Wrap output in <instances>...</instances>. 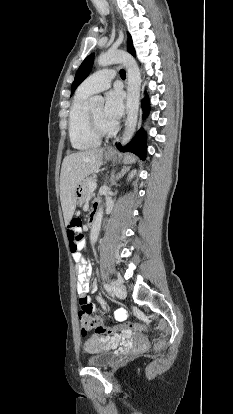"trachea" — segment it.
<instances>
[{
    "label": "trachea",
    "instance_id": "obj_1",
    "mask_svg": "<svg viewBox=\"0 0 233 414\" xmlns=\"http://www.w3.org/2000/svg\"><path fill=\"white\" fill-rule=\"evenodd\" d=\"M120 77H121L122 79H125V78H126V72H125V70H124V69H121V70H120Z\"/></svg>",
    "mask_w": 233,
    "mask_h": 414
}]
</instances>
